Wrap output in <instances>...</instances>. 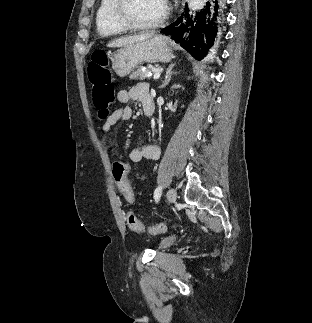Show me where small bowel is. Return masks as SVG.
Listing matches in <instances>:
<instances>
[{
  "label": "small bowel",
  "instance_id": "small-bowel-1",
  "mask_svg": "<svg viewBox=\"0 0 312 323\" xmlns=\"http://www.w3.org/2000/svg\"><path fill=\"white\" fill-rule=\"evenodd\" d=\"M148 91H150L149 85L145 82H139L129 89L119 90L117 100L122 104L143 102V98ZM132 117L133 109L130 106H123L112 112L102 125V143L108 149L110 156H114L113 142L110 137L113 128L120 123L129 121ZM129 157L133 163L142 160L156 161L160 157V149L154 145L138 146L130 151Z\"/></svg>",
  "mask_w": 312,
  "mask_h": 323
}]
</instances>
